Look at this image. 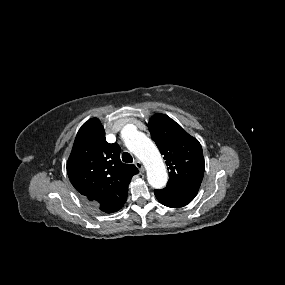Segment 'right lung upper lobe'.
I'll list each match as a JSON object with an SVG mask.
<instances>
[{"label":"right lung upper lobe","mask_w":285,"mask_h":285,"mask_svg":"<svg viewBox=\"0 0 285 285\" xmlns=\"http://www.w3.org/2000/svg\"><path fill=\"white\" fill-rule=\"evenodd\" d=\"M139 170L123 164L118 144H109L97 118L88 120L78 131L67 162V174L80 198L104 213L121 209L128 196V185Z\"/></svg>","instance_id":"right-lung-upper-lobe-1"}]
</instances>
